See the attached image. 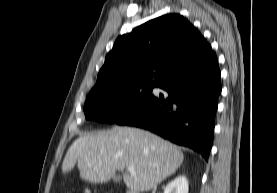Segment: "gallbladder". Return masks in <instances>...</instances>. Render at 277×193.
I'll use <instances>...</instances> for the list:
<instances>
[{"label": "gallbladder", "mask_w": 277, "mask_h": 193, "mask_svg": "<svg viewBox=\"0 0 277 193\" xmlns=\"http://www.w3.org/2000/svg\"><path fill=\"white\" fill-rule=\"evenodd\" d=\"M122 180V177L120 175H117L114 177L115 182H120Z\"/></svg>", "instance_id": "gallbladder-1"}]
</instances>
